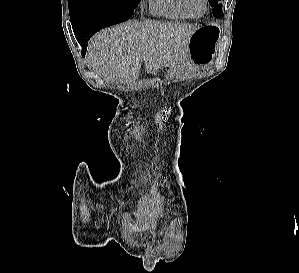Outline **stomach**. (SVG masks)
I'll return each mask as SVG.
<instances>
[{
  "mask_svg": "<svg viewBox=\"0 0 299 273\" xmlns=\"http://www.w3.org/2000/svg\"><path fill=\"white\" fill-rule=\"evenodd\" d=\"M220 37V29L215 24L199 27L191 35L188 44L191 64L208 66L213 62L217 52V42Z\"/></svg>",
  "mask_w": 299,
  "mask_h": 273,
  "instance_id": "1",
  "label": "stomach"
}]
</instances>
